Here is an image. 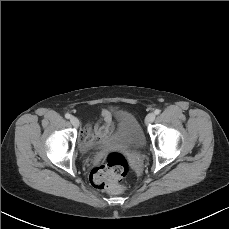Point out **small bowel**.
<instances>
[{
	"label": "small bowel",
	"instance_id": "c3829d8e",
	"mask_svg": "<svg viewBox=\"0 0 229 229\" xmlns=\"http://www.w3.org/2000/svg\"><path fill=\"white\" fill-rule=\"evenodd\" d=\"M114 131V114L111 110L103 109L101 111V123L95 126L88 125L84 128L80 138L81 145L84 147L90 140L110 139Z\"/></svg>",
	"mask_w": 229,
	"mask_h": 229
}]
</instances>
